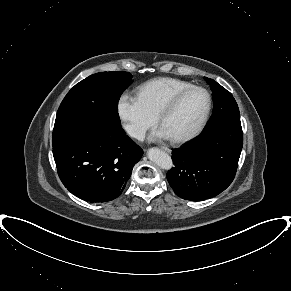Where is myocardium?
<instances>
[{
    "label": "myocardium",
    "mask_w": 291,
    "mask_h": 291,
    "mask_svg": "<svg viewBox=\"0 0 291 291\" xmlns=\"http://www.w3.org/2000/svg\"><path fill=\"white\" fill-rule=\"evenodd\" d=\"M195 90H200L203 91L206 96H207V105L206 108L203 112V115L201 117V119L199 120L198 124L196 125V127L188 134L182 136V137H178V138H173L170 139L172 143L174 144H183L186 143L192 139H194L196 136H198L201 131L203 130V128L205 127L211 109H212V95L210 93V91L208 89H206L205 87L202 86H197V85H192L188 88H185L181 91H179L178 93H176L164 106L163 108L160 110V112L157 115V123L159 126L162 125L163 120L170 114L172 113L175 108L178 106V104L181 102V100L190 92L195 91Z\"/></svg>",
    "instance_id": "obj_1"
}]
</instances>
